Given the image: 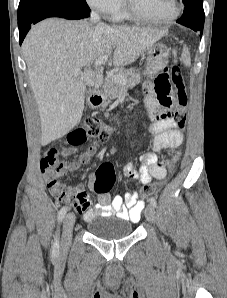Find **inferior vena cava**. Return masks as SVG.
<instances>
[{"label":"inferior vena cava","mask_w":227,"mask_h":298,"mask_svg":"<svg viewBox=\"0 0 227 298\" xmlns=\"http://www.w3.org/2000/svg\"><path fill=\"white\" fill-rule=\"evenodd\" d=\"M90 20L94 23H98V24H101L103 25V23L100 22V16L98 13L92 11L91 12V15H90Z\"/></svg>","instance_id":"1"}]
</instances>
